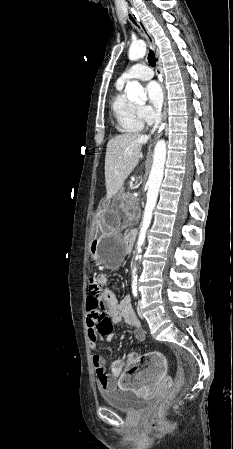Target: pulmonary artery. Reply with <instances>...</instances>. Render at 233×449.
Listing matches in <instances>:
<instances>
[{"label":"pulmonary artery","mask_w":233,"mask_h":449,"mask_svg":"<svg viewBox=\"0 0 233 449\" xmlns=\"http://www.w3.org/2000/svg\"><path fill=\"white\" fill-rule=\"evenodd\" d=\"M154 76L153 70L145 65L137 63L125 71L118 79V83L125 84L133 79L137 80H150Z\"/></svg>","instance_id":"pulmonary-artery-1"}]
</instances>
